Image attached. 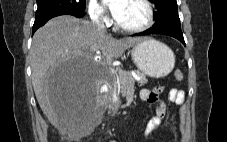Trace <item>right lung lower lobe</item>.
<instances>
[{
  "label": "right lung lower lobe",
  "mask_w": 227,
  "mask_h": 142,
  "mask_svg": "<svg viewBox=\"0 0 227 142\" xmlns=\"http://www.w3.org/2000/svg\"><path fill=\"white\" fill-rule=\"evenodd\" d=\"M60 15H72V16L81 18V17L84 16V12H82V11H57V12H52V13L36 16L35 17V22H34V25H33L32 34H34V32L39 27L44 25L49 19H51L53 17H56V16H60Z\"/></svg>",
  "instance_id": "right-lung-lower-lobe-1"
}]
</instances>
